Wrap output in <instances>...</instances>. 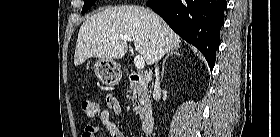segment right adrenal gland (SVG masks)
I'll list each match as a JSON object with an SVG mask.
<instances>
[{
  "label": "right adrenal gland",
  "instance_id": "2a0ac1e0",
  "mask_svg": "<svg viewBox=\"0 0 280 137\" xmlns=\"http://www.w3.org/2000/svg\"><path fill=\"white\" fill-rule=\"evenodd\" d=\"M178 50H179L178 48H175V49H172V50H170V51L167 52V55L165 56V58H164V60H163V63H162L161 79H163V77H164V73H165V62H166L167 58H168L170 55H176V56L182 55V54L179 53Z\"/></svg>",
  "mask_w": 280,
  "mask_h": 137
}]
</instances>
